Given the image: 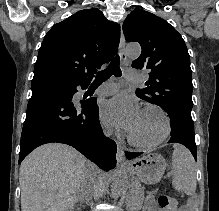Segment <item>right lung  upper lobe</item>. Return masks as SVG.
Wrapping results in <instances>:
<instances>
[{"mask_svg":"<svg viewBox=\"0 0 219 211\" xmlns=\"http://www.w3.org/2000/svg\"><path fill=\"white\" fill-rule=\"evenodd\" d=\"M120 26L97 8L78 11L55 24L44 37L32 86L89 84L118 48Z\"/></svg>","mask_w":219,"mask_h":211,"instance_id":"obj_1","label":"right lung upper lobe"}]
</instances>
